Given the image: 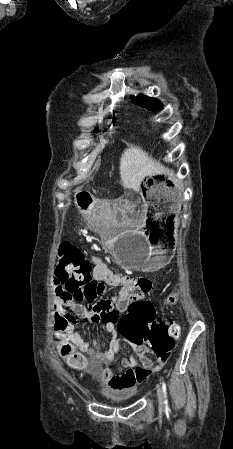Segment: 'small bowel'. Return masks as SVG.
<instances>
[{
  "label": "small bowel",
  "instance_id": "c3829d8e",
  "mask_svg": "<svg viewBox=\"0 0 233 449\" xmlns=\"http://www.w3.org/2000/svg\"><path fill=\"white\" fill-rule=\"evenodd\" d=\"M91 260L94 265L92 279L99 282L93 294L98 299L96 303H89L87 308L77 304L71 295L66 294L64 278L59 272L53 277V290L63 314L71 313L75 318L79 317L93 323L102 322L111 335L110 345L104 352L92 348L77 332H74L75 319L65 328L66 341L72 346L73 353L82 357L83 366L99 374L109 387L116 390L131 389L143 383L151 373L161 370L169 354H158L156 359L152 360L147 356L148 349H135V343H131L137 357L131 355L123 358L117 369L105 366L114 358L120 349V342L126 338H120L117 330L111 325L113 319L102 314L112 313L114 311L112 308L122 310L123 307L129 306L130 301H143L154 289V284L147 274L114 272L100 256L94 255ZM106 285L121 288L115 298L105 300L109 296ZM175 325L179 328L177 324ZM166 327L169 329L170 325L166 324Z\"/></svg>",
  "mask_w": 233,
  "mask_h": 449
}]
</instances>
